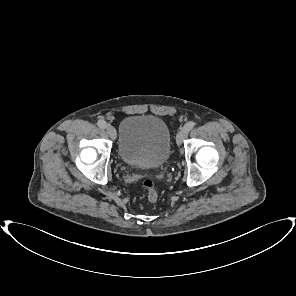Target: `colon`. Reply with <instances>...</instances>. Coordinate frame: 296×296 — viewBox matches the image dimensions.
<instances>
[{"instance_id": "colon-1", "label": "colon", "mask_w": 296, "mask_h": 296, "mask_svg": "<svg viewBox=\"0 0 296 296\" xmlns=\"http://www.w3.org/2000/svg\"><path fill=\"white\" fill-rule=\"evenodd\" d=\"M142 187L147 192V197L149 201L155 202L158 199V194L155 190L154 182L151 179L143 180Z\"/></svg>"}]
</instances>
